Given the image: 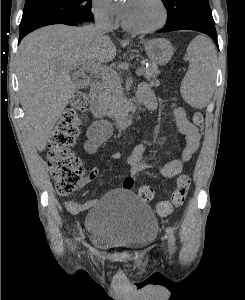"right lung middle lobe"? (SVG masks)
Wrapping results in <instances>:
<instances>
[{
  "instance_id": "obj_1",
  "label": "right lung middle lobe",
  "mask_w": 245,
  "mask_h": 300,
  "mask_svg": "<svg viewBox=\"0 0 245 300\" xmlns=\"http://www.w3.org/2000/svg\"><path fill=\"white\" fill-rule=\"evenodd\" d=\"M93 20L91 0H26L20 34L51 24Z\"/></svg>"
}]
</instances>
